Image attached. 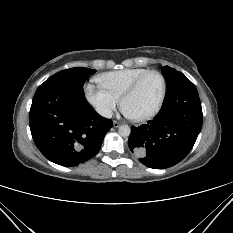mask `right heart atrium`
I'll return each instance as SVG.
<instances>
[{
	"instance_id": "right-heart-atrium-1",
	"label": "right heart atrium",
	"mask_w": 233,
	"mask_h": 233,
	"mask_svg": "<svg viewBox=\"0 0 233 233\" xmlns=\"http://www.w3.org/2000/svg\"><path fill=\"white\" fill-rule=\"evenodd\" d=\"M85 95L88 102L103 117H110L116 109L119 98L114 96L101 85L87 84Z\"/></svg>"
}]
</instances>
